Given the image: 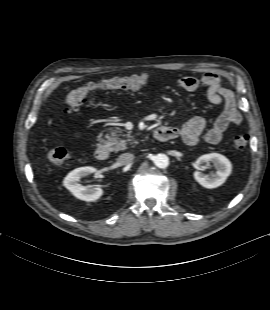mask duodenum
I'll return each mask as SVG.
<instances>
[{
	"instance_id": "duodenum-1",
	"label": "duodenum",
	"mask_w": 270,
	"mask_h": 310,
	"mask_svg": "<svg viewBox=\"0 0 270 310\" xmlns=\"http://www.w3.org/2000/svg\"><path fill=\"white\" fill-rule=\"evenodd\" d=\"M155 138L161 141H169L174 139L173 131L165 126H160L155 130ZM95 157L98 160H106L109 157V149L106 145H98L95 149Z\"/></svg>"
}]
</instances>
